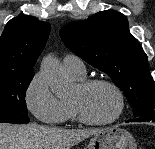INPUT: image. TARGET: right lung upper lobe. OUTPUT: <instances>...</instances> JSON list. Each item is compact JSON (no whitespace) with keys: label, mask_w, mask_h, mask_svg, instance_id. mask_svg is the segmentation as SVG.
I'll list each match as a JSON object with an SVG mask.
<instances>
[{"label":"right lung upper lobe","mask_w":155,"mask_h":149,"mask_svg":"<svg viewBox=\"0 0 155 149\" xmlns=\"http://www.w3.org/2000/svg\"><path fill=\"white\" fill-rule=\"evenodd\" d=\"M51 26L32 16L11 19L0 37V76L31 72Z\"/></svg>","instance_id":"cb5924a9"}]
</instances>
